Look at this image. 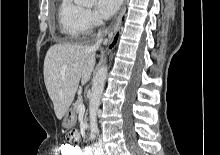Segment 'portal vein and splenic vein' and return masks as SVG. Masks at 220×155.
Masks as SVG:
<instances>
[{"label": "portal vein and splenic vein", "mask_w": 220, "mask_h": 155, "mask_svg": "<svg viewBox=\"0 0 220 155\" xmlns=\"http://www.w3.org/2000/svg\"><path fill=\"white\" fill-rule=\"evenodd\" d=\"M78 110L79 111H84L85 110V106H84L83 103L78 106Z\"/></svg>", "instance_id": "obj_1"}]
</instances>
